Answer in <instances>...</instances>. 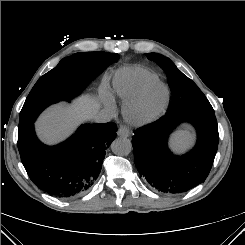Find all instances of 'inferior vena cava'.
I'll return each instance as SVG.
<instances>
[{
	"label": "inferior vena cava",
	"mask_w": 245,
	"mask_h": 245,
	"mask_svg": "<svg viewBox=\"0 0 245 245\" xmlns=\"http://www.w3.org/2000/svg\"><path fill=\"white\" fill-rule=\"evenodd\" d=\"M111 119H112V115L105 111L98 112L94 117V120L98 123H106L111 121Z\"/></svg>",
	"instance_id": "1"
}]
</instances>
